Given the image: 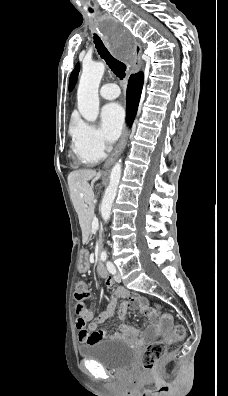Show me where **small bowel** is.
I'll return each instance as SVG.
<instances>
[{
  "instance_id": "small-bowel-1",
  "label": "small bowel",
  "mask_w": 228,
  "mask_h": 396,
  "mask_svg": "<svg viewBox=\"0 0 228 396\" xmlns=\"http://www.w3.org/2000/svg\"><path fill=\"white\" fill-rule=\"evenodd\" d=\"M88 268L89 257L86 252H83L80 259V269L82 271H86ZM105 283L108 287H112L115 284L113 279L109 276L105 279ZM119 299H123L118 308V316L122 321V324L117 327L114 334H110L108 328H100L99 325L114 314L117 301ZM128 309L137 310L141 315L149 318L150 325L142 334L137 327L125 321V315ZM84 314L85 320L90 322L87 327L78 329V340L80 343L85 344L110 338L126 337L133 339L139 336L142 341H148L158 336L161 332L167 330L172 321L171 317L168 315L158 317L153 312L145 298L131 294L122 287H118L114 290L107 309L100 313L96 318H94V313L91 310H86Z\"/></svg>"
}]
</instances>
